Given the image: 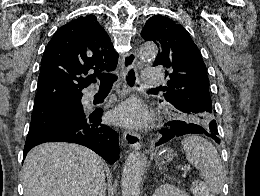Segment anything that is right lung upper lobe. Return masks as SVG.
<instances>
[{
	"label": "right lung upper lobe",
	"mask_w": 260,
	"mask_h": 196,
	"mask_svg": "<svg viewBox=\"0 0 260 196\" xmlns=\"http://www.w3.org/2000/svg\"><path fill=\"white\" fill-rule=\"evenodd\" d=\"M118 54L94 15L79 17L56 31L41 60L34 106L80 97L103 70H114ZM95 73L84 77L88 72Z\"/></svg>",
	"instance_id": "right-lung-upper-lobe-1"
}]
</instances>
